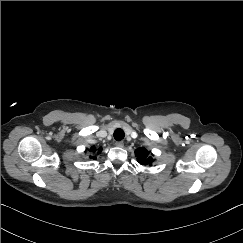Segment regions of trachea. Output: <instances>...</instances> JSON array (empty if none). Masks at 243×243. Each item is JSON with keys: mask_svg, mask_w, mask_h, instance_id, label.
<instances>
[{"mask_svg": "<svg viewBox=\"0 0 243 243\" xmlns=\"http://www.w3.org/2000/svg\"><path fill=\"white\" fill-rule=\"evenodd\" d=\"M124 136H125V133H124V131L122 129L119 128V129H116L114 131V138H115V140L120 141V140H122L124 138Z\"/></svg>", "mask_w": 243, "mask_h": 243, "instance_id": "1", "label": "trachea"}]
</instances>
